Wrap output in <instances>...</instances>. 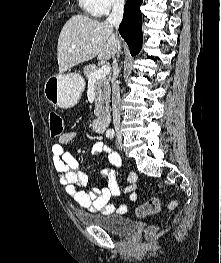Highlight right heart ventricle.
Wrapping results in <instances>:
<instances>
[{
    "mask_svg": "<svg viewBox=\"0 0 221 263\" xmlns=\"http://www.w3.org/2000/svg\"><path fill=\"white\" fill-rule=\"evenodd\" d=\"M81 8L91 16H99L95 6V0H79Z\"/></svg>",
    "mask_w": 221,
    "mask_h": 263,
    "instance_id": "e07e8e85",
    "label": "right heart ventricle"
}]
</instances>
